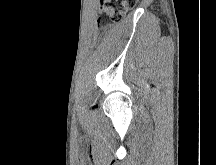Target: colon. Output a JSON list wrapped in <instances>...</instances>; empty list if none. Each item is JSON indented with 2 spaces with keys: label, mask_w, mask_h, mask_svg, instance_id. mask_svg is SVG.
Returning <instances> with one entry per match:
<instances>
[{
  "label": "colon",
  "mask_w": 216,
  "mask_h": 165,
  "mask_svg": "<svg viewBox=\"0 0 216 165\" xmlns=\"http://www.w3.org/2000/svg\"><path fill=\"white\" fill-rule=\"evenodd\" d=\"M137 2L138 0H102L101 14L114 22L120 21Z\"/></svg>",
  "instance_id": "1"
}]
</instances>
